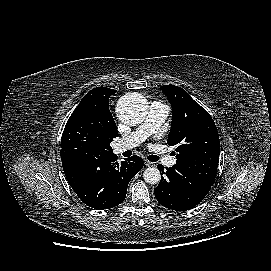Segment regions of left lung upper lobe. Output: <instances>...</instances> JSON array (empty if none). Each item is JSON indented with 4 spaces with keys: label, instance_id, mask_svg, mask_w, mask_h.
I'll return each instance as SVG.
<instances>
[{
    "label": "left lung upper lobe",
    "instance_id": "1",
    "mask_svg": "<svg viewBox=\"0 0 271 271\" xmlns=\"http://www.w3.org/2000/svg\"><path fill=\"white\" fill-rule=\"evenodd\" d=\"M160 89L172 106L167 143L176 147L175 165L212 186L220 154L219 135L212 117L182 88L164 85Z\"/></svg>",
    "mask_w": 271,
    "mask_h": 271
}]
</instances>
